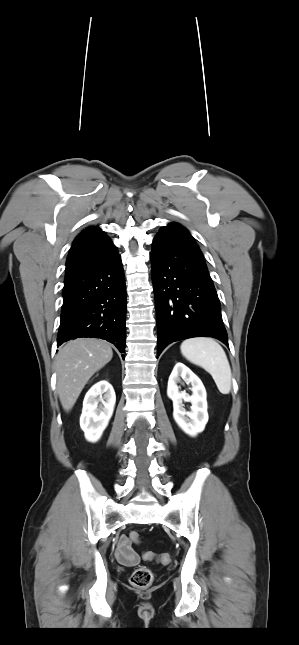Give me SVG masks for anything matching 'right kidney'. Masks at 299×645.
<instances>
[{
  "mask_svg": "<svg viewBox=\"0 0 299 645\" xmlns=\"http://www.w3.org/2000/svg\"><path fill=\"white\" fill-rule=\"evenodd\" d=\"M116 396L111 384L102 380L86 393L80 427L89 442H97L113 414Z\"/></svg>",
  "mask_w": 299,
  "mask_h": 645,
  "instance_id": "right-kidney-1",
  "label": "right kidney"
}]
</instances>
